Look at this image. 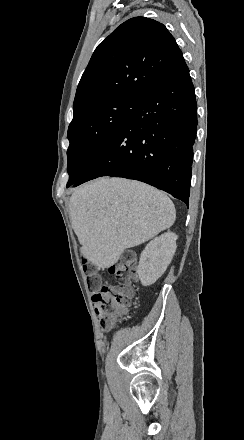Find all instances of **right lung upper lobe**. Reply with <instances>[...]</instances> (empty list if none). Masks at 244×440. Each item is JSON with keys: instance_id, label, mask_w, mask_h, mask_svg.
<instances>
[{"instance_id": "obj_1", "label": "right lung upper lobe", "mask_w": 244, "mask_h": 440, "mask_svg": "<svg viewBox=\"0 0 244 440\" xmlns=\"http://www.w3.org/2000/svg\"><path fill=\"white\" fill-rule=\"evenodd\" d=\"M182 63L183 54L163 24L145 17L131 18L94 51L73 108L116 96L142 97Z\"/></svg>"}]
</instances>
